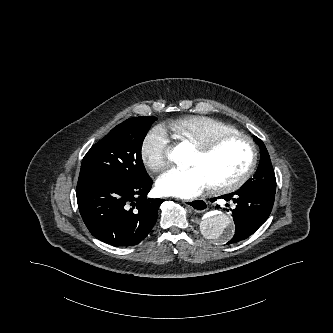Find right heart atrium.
I'll list each match as a JSON object with an SVG mask.
<instances>
[{"label":"right heart atrium","instance_id":"obj_1","mask_svg":"<svg viewBox=\"0 0 333 333\" xmlns=\"http://www.w3.org/2000/svg\"><path fill=\"white\" fill-rule=\"evenodd\" d=\"M169 150V139L165 129L161 126L154 127L141 143V160L147 169L160 172L169 164Z\"/></svg>","mask_w":333,"mask_h":333}]
</instances>
